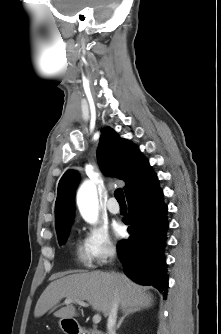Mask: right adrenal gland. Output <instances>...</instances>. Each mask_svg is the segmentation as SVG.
<instances>
[{
  "mask_svg": "<svg viewBox=\"0 0 221 334\" xmlns=\"http://www.w3.org/2000/svg\"><path fill=\"white\" fill-rule=\"evenodd\" d=\"M140 311V308H134V309H130L128 311L125 312V314L120 318L118 324H117V329L121 326L122 322L124 321V319L129 316L132 313L138 312Z\"/></svg>",
  "mask_w": 221,
  "mask_h": 334,
  "instance_id": "right-adrenal-gland-1",
  "label": "right adrenal gland"
}]
</instances>
